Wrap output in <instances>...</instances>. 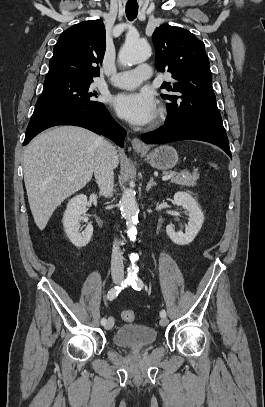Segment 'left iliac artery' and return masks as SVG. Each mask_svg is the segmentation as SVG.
Returning <instances> with one entry per match:
<instances>
[{
	"label": "left iliac artery",
	"instance_id": "44dca946",
	"mask_svg": "<svg viewBox=\"0 0 265 407\" xmlns=\"http://www.w3.org/2000/svg\"><path fill=\"white\" fill-rule=\"evenodd\" d=\"M128 280H129L130 285L132 286L133 289L140 291L143 288V281L140 278H138L137 276L131 277ZM160 316L161 317H166V311L161 310Z\"/></svg>",
	"mask_w": 265,
	"mask_h": 407
}]
</instances>
